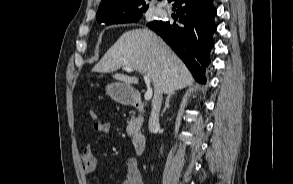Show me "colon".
<instances>
[{
	"label": "colon",
	"mask_w": 293,
	"mask_h": 184,
	"mask_svg": "<svg viewBox=\"0 0 293 184\" xmlns=\"http://www.w3.org/2000/svg\"><path fill=\"white\" fill-rule=\"evenodd\" d=\"M89 114H90V117L92 119H96L97 118V114H96V112L93 109L90 110Z\"/></svg>",
	"instance_id": "colon-1"
}]
</instances>
